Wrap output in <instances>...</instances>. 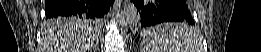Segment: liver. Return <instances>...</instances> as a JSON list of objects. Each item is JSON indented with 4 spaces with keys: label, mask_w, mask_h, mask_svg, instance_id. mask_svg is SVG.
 <instances>
[{
    "label": "liver",
    "mask_w": 261,
    "mask_h": 52,
    "mask_svg": "<svg viewBox=\"0 0 261 52\" xmlns=\"http://www.w3.org/2000/svg\"><path fill=\"white\" fill-rule=\"evenodd\" d=\"M92 28L85 23L49 20L42 30L47 52H92Z\"/></svg>",
    "instance_id": "obj_1"
}]
</instances>
